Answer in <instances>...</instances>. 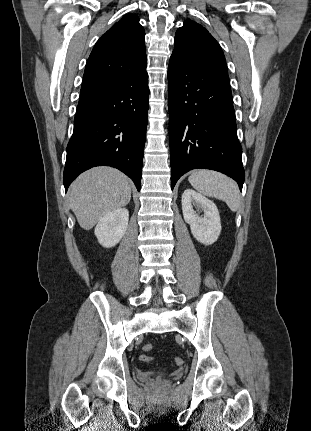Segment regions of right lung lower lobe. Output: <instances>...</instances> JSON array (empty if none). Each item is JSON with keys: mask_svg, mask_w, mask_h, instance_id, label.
I'll use <instances>...</instances> for the list:
<instances>
[{"mask_svg": "<svg viewBox=\"0 0 311 431\" xmlns=\"http://www.w3.org/2000/svg\"><path fill=\"white\" fill-rule=\"evenodd\" d=\"M149 88L146 68L133 79L80 94L63 183L100 165L128 175L140 191Z\"/></svg>", "mask_w": 311, "mask_h": 431, "instance_id": "obj_1", "label": "right lung lower lobe"}]
</instances>
